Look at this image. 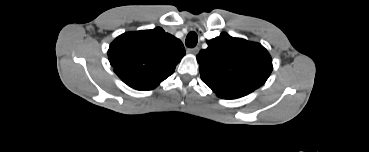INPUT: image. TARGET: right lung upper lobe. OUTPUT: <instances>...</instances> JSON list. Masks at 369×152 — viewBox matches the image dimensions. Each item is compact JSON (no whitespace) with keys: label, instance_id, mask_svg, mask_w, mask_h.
<instances>
[{"label":"right lung upper lobe","instance_id":"obj_1","mask_svg":"<svg viewBox=\"0 0 369 152\" xmlns=\"http://www.w3.org/2000/svg\"><path fill=\"white\" fill-rule=\"evenodd\" d=\"M185 55L182 42L162 28L127 32L110 45L114 72L136 90H151L169 77Z\"/></svg>","mask_w":369,"mask_h":152}]
</instances>
